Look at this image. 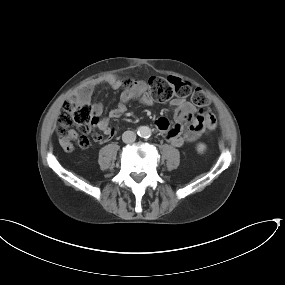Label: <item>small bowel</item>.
I'll return each instance as SVG.
<instances>
[{"mask_svg":"<svg viewBox=\"0 0 285 285\" xmlns=\"http://www.w3.org/2000/svg\"><path fill=\"white\" fill-rule=\"evenodd\" d=\"M103 83H108L113 89H119L122 85V80L116 75H106L101 78L90 80L86 83L84 89L75 90L68 100L74 101H89L95 89ZM136 100L144 106H153L154 99L150 95L147 84L143 80H136L133 87L122 91L118 105L109 111L106 117H102L104 106L102 103H94L92 110L94 112L97 128L103 131L108 138L115 135L117 128L109 124L110 119L121 117L127 110L130 101ZM174 107V115L176 122L171 123L166 117H160L155 121V127L165 139L175 147H182L185 144L194 142L199 138L205 129L207 119L214 118L211 113L201 112L187 99H174L170 103ZM190 122L189 130L181 135L183 129L182 122ZM78 145L83 150L90 147L88 139L77 136L72 133V142L65 144L64 147L69 152H74Z\"/></svg>","mask_w":285,"mask_h":285,"instance_id":"c3829d8e","label":"small bowel"}]
</instances>
